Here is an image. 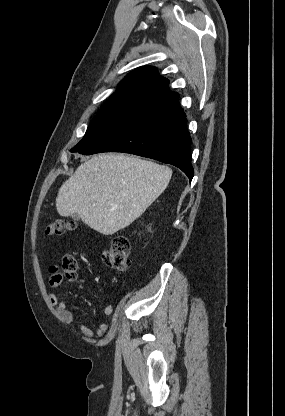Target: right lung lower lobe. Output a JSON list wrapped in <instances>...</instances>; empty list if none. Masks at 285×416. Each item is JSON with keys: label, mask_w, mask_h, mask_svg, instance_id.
Returning a JSON list of instances; mask_svg holds the SVG:
<instances>
[{"label": "right lung lower lobe", "mask_w": 285, "mask_h": 416, "mask_svg": "<svg viewBox=\"0 0 285 416\" xmlns=\"http://www.w3.org/2000/svg\"><path fill=\"white\" fill-rule=\"evenodd\" d=\"M125 152L152 158L180 168L191 181V137L179 105L161 109L94 144L81 154Z\"/></svg>", "instance_id": "98d812e1"}]
</instances>
